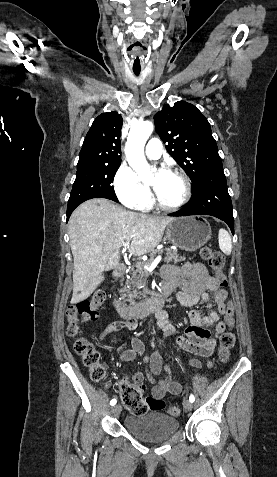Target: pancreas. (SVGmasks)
Wrapping results in <instances>:
<instances>
[{
	"instance_id": "obj_1",
	"label": "pancreas",
	"mask_w": 277,
	"mask_h": 477,
	"mask_svg": "<svg viewBox=\"0 0 277 477\" xmlns=\"http://www.w3.org/2000/svg\"><path fill=\"white\" fill-rule=\"evenodd\" d=\"M157 254L153 252L150 254V259L145 263L146 265L151 264L154 261V258ZM186 258L184 256H179L177 251L166 249V256L164 258V262H171L174 263L184 261ZM149 272L144 269V264H138L136 266V270L133 271L132 277L130 280L127 281V287L123 289V292H126L124 296H128L130 305L128 308H135L137 306L135 299H141V292L140 289L142 287V278L149 276Z\"/></svg>"
}]
</instances>
